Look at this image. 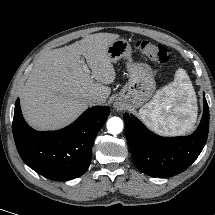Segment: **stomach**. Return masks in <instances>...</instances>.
Returning a JSON list of instances; mask_svg holds the SVG:
<instances>
[{
	"label": "stomach",
	"instance_id": "0dacf381",
	"mask_svg": "<svg viewBox=\"0 0 215 215\" xmlns=\"http://www.w3.org/2000/svg\"><path fill=\"white\" fill-rule=\"evenodd\" d=\"M107 53L114 63L119 59L127 60L129 80L120 91L117 103H123L130 108H138L149 101L156 88L151 67L146 63L132 60V48L125 39H117L112 42L107 48Z\"/></svg>",
	"mask_w": 215,
	"mask_h": 215
}]
</instances>
